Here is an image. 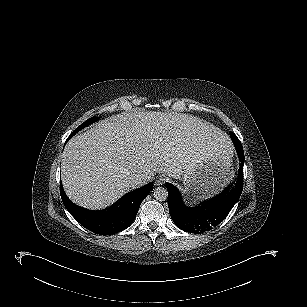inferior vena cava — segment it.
<instances>
[{
  "label": "inferior vena cava",
  "instance_id": "obj_1",
  "mask_svg": "<svg viewBox=\"0 0 307 307\" xmlns=\"http://www.w3.org/2000/svg\"><path fill=\"white\" fill-rule=\"evenodd\" d=\"M147 183V179L146 178H142V177H138V178H134L132 179V181L130 182V187L132 189L138 188L144 184Z\"/></svg>",
  "mask_w": 307,
  "mask_h": 307
}]
</instances>
